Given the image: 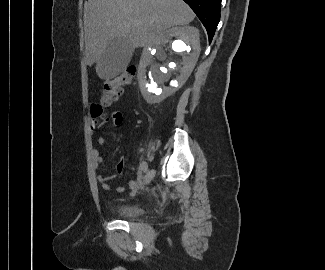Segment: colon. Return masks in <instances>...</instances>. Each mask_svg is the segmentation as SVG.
<instances>
[{"label": "colon", "mask_w": 325, "mask_h": 270, "mask_svg": "<svg viewBox=\"0 0 325 270\" xmlns=\"http://www.w3.org/2000/svg\"><path fill=\"white\" fill-rule=\"evenodd\" d=\"M136 75L135 67H128L119 77L104 83L101 104L105 107L114 104L122 94L124 85L129 84Z\"/></svg>", "instance_id": "obj_1"}]
</instances>
